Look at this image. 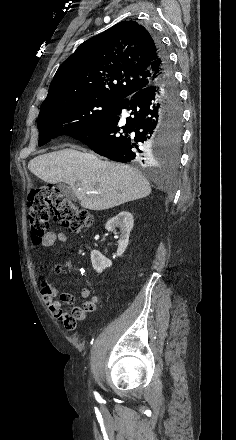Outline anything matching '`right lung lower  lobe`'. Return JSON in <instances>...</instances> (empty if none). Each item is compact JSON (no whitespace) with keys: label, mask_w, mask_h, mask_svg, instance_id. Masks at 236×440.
I'll list each match as a JSON object with an SVG mask.
<instances>
[{"label":"right lung lower lobe","mask_w":236,"mask_h":440,"mask_svg":"<svg viewBox=\"0 0 236 440\" xmlns=\"http://www.w3.org/2000/svg\"><path fill=\"white\" fill-rule=\"evenodd\" d=\"M153 39L158 49L161 76L122 100L109 118L71 136L111 160L150 164L153 159L146 147L152 142L158 146L165 129L182 124L179 93L168 56L160 40ZM175 93L177 99L173 97ZM122 109L130 116H122Z\"/></svg>","instance_id":"obj_1"}]
</instances>
